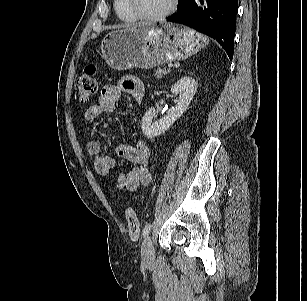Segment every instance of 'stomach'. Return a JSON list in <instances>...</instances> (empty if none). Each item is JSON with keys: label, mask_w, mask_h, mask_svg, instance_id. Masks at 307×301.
I'll use <instances>...</instances> for the list:
<instances>
[{"label": "stomach", "mask_w": 307, "mask_h": 301, "mask_svg": "<svg viewBox=\"0 0 307 301\" xmlns=\"http://www.w3.org/2000/svg\"><path fill=\"white\" fill-rule=\"evenodd\" d=\"M207 38L172 23L139 24L106 35L101 58L115 70L152 68L197 53Z\"/></svg>", "instance_id": "obj_1"}]
</instances>
